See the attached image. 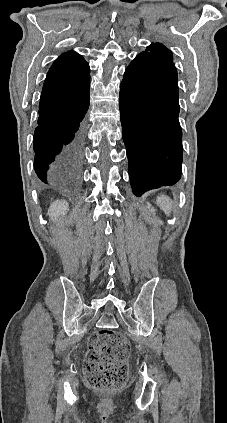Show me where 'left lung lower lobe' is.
<instances>
[{
    "label": "left lung lower lobe",
    "instance_id": "1",
    "mask_svg": "<svg viewBox=\"0 0 227 423\" xmlns=\"http://www.w3.org/2000/svg\"><path fill=\"white\" fill-rule=\"evenodd\" d=\"M120 120L133 192L172 186L181 177L182 131L173 110L152 84L124 75Z\"/></svg>",
    "mask_w": 227,
    "mask_h": 423
}]
</instances>
